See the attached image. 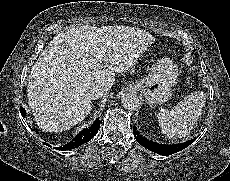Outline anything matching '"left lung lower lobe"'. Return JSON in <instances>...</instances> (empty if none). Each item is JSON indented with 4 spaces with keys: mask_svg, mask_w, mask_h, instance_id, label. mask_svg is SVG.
I'll list each match as a JSON object with an SVG mask.
<instances>
[{
    "mask_svg": "<svg viewBox=\"0 0 230 181\" xmlns=\"http://www.w3.org/2000/svg\"><path fill=\"white\" fill-rule=\"evenodd\" d=\"M133 133L135 136V139L137 142L144 146L145 148L149 149L152 152L158 153L160 155L168 156L174 153H177L186 147H188L190 144H192L195 139H192L190 141H187L183 144H176V145H162L157 144L152 141L147 140L146 138L142 137L139 132L136 131L135 127H133Z\"/></svg>",
    "mask_w": 230,
    "mask_h": 181,
    "instance_id": "0a47b994",
    "label": "left lung lower lobe"
}]
</instances>
